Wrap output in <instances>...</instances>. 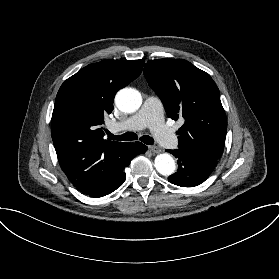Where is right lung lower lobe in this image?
<instances>
[{
	"instance_id": "obj_1",
	"label": "right lung lower lobe",
	"mask_w": 279,
	"mask_h": 279,
	"mask_svg": "<svg viewBox=\"0 0 279 279\" xmlns=\"http://www.w3.org/2000/svg\"><path fill=\"white\" fill-rule=\"evenodd\" d=\"M147 147L140 142L131 143L128 154L124 158L123 162L116 168L113 174L92 194L90 197L98 198L112 193L118 187H120L126 177L124 173L125 167L130 164V161L138 154L146 152Z\"/></svg>"
}]
</instances>
